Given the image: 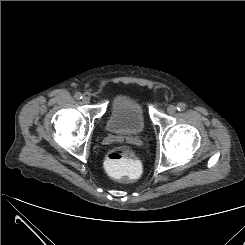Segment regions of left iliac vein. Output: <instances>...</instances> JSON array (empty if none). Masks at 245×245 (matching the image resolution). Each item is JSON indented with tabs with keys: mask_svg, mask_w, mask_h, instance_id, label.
Wrapping results in <instances>:
<instances>
[{
	"mask_svg": "<svg viewBox=\"0 0 245 245\" xmlns=\"http://www.w3.org/2000/svg\"><path fill=\"white\" fill-rule=\"evenodd\" d=\"M176 110H177V108L174 105H170V106L167 107V112L170 115H173L176 112Z\"/></svg>",
	"mask_w": 245,
	"mask_h": 245,
	"instance_id": "4c4485c4",
	"label": "left iliac vein"
}]
</instances>
